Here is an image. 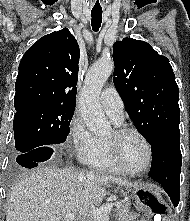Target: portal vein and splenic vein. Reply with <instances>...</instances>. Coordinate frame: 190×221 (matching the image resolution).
I'll return each instance as SVG.
<instances>
[{
    "instance_id": "portal-vein-and-splenic-vein-1",
    "label": "portal vein and splenic vein",
    "mask_w": 190,
    "mask_h": 221,
    "mask_svg": "<svg viewBox=\"0 0 190 221\" xmlns=\"http://www.w3.org/2000/svg\"><path fill=\"white\" fill-rule=\"evenodd\" d=\"M113 206H120V202L107 204L106 206L100 208L92 207L89 211V215L91 216V218H101L102 221H109V214ZM75 217V213L68 214L64 217V221H72Z\"/></svg>"
}]
</instances>
